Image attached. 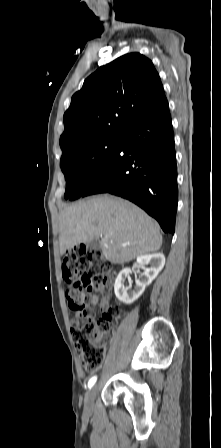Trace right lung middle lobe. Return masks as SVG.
Segmentation results:
<instances>
[{"label":"right lung middle lobe","mask_w":221,"mask_h":448,"mask_svg":"<svg viewBox=\"0 0 221 448\" xmlns=\"http://www.w3.org/2000/svg\"><path fill=\"white\" fill-rule=\"evenodd\" d=\"M118 136L90 141L61 158L60 166L66 179L65 199L82 197L92 179L111 156Z\"/></svg>","instance_id":"1"}]
</instances>
